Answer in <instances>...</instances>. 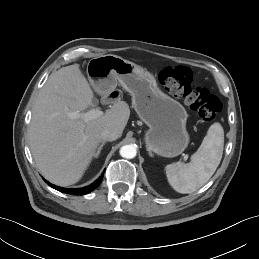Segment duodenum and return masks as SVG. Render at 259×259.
<instances>
[{"label": "duodenum", "mask_w": 259, "mask_h": 259, "mask_svg": "<svg viewBox=\"0 0 259 259\" xmlns=\"http://www.w3.org/2000/svg\"><path fill=\"white\" fill-rule=\"evenodd\" d=\"M116 96H117L116 93H111V94L108 96V99L114 100V99H116Z\"/></svg>", "instance_id": "410a0bca"}]
</instances>
